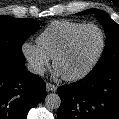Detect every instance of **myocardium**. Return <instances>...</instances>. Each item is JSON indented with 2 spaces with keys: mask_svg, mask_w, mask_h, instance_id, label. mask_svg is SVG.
Here are the masks:
<instances>
[{
  "mask_svg": "<svg viewBox=\"0 0 119 119\" xmlns=\"http://www.w3.org/2000/svg\"><path fill=\"white\" fill-rule=\"evenodd\" d=\"M88 28H95L99 31L100 35H101V45H100V49L97 53V55L95 56V58L93 59V61L81 72L74 74V75H70V76H63V78L67 81H79L83 78H85L86 76H88L93 70L94 68L97 66V64L99 63V61L101 60L103 53L105 51V47H106V36H105V32L104 30L98 26L97 24L94 23H88V24H84L83 26H81L80 28H78L77 30H75L67 39V41L64 43V45L59 49V51L55 54L54 58H53V66L56 69L57 63L60 60L61 57H63L71 48L73 42L75 41V39L77 38V36L83 32L84 30L88 29Z\"/></svg>",
  "mask_w": 119,
  "mask_h": 119,
  "instance_id": "myocardium-1",
  "label": "myocardium"
}]
</instances>
